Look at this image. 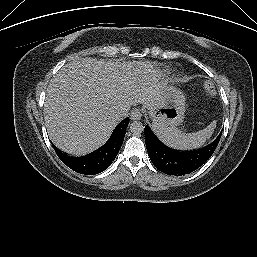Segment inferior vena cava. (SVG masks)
Returning <instances> with one entry per match:
<instances>
[{
  "label": "inferior vena cava",
  "instance_id": "inferior-vena-cava-1",
  "mask_svg": "<svg viewBox=\"0 0 257 257\" xmlns=\"http://www.w3.org/2000/svg\"><path fill=\"white\" fill-rule=\"evenodd\" d=\"M128 116V109L122 108L117 112V117L119 120H122L123 118Z\"/></svg>",
  "mask_w": 257,
  "mask_h": 257
}]
</instances>
